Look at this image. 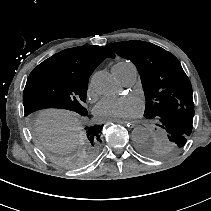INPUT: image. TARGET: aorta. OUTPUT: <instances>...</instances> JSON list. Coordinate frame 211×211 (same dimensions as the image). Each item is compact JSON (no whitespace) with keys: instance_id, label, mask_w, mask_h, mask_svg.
<instances>
[{"instance_id":"762f6f07","label":"aorta","mask_w":211,"mask_h":211,"mask_svg":"<svg viewBox=\"0 0 211 211\" xmlns=\"http://www.w3.org/2000/svg\"><path fill=\"white\" fill-rule=\"evenodd\" d=\"M94 90L101 95L113 94L118 90L115 78L106 71L96 72L91 79ZM149 138L148 130L143 126H137L132 130V139L139 143Z\"/></svg>"}]
</instances>
